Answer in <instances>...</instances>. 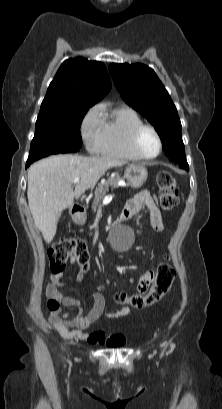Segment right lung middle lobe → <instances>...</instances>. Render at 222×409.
Returning <instances> with one entry per match:
<instances>
[{
  "label": "right lung middle lobe",
  "mask_w": 222,
  "mask_h": 409,
  "mask_svg": "<svg viewBox=\"0 0 222 409\" xmlns=\"http://www.w3.org/2000/svg\"><path fill=\"white\" fill-rule=\"evenodd\" d=\"M90 107L69 105L41 109L27 163L51 154L78 151L82 145L80 125Z\"/></svg>",
  "instance_id": "dd1d6c3e"
}]
</instances>
